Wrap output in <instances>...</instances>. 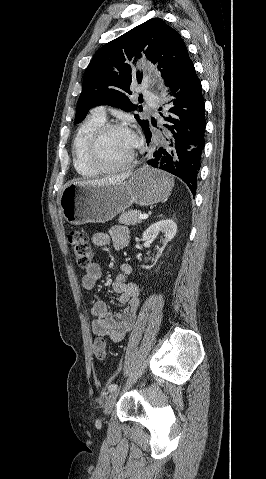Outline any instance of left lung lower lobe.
Masks as SVG:
<instances>
[{
  "instance_id": "obj_1",
  "label": "left lung lower lobe",
  "mask_w": 266,
  "mask_h": 479,
  "mask_svg": "<svg viewBox=\"0 0 266 479\" xmlns=\"http://www.w3.org/2000/svg\"><path fill=\"white\" fill-rule=\"evenodd\" d=\"M175 98L169 111L175 116L167 118L171 125H165L170 134L163 143L151 141L150 127L145 130L147 144V163L182 179L196 194L197 177L204 148L206 127L205 103L201 93V82L191 61L170 87Z\"/></svg>"
}]
</instances>
